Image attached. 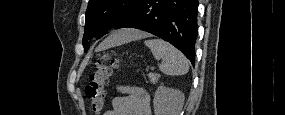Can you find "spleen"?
I'll return each instance as SVG.
<instances>
[{
  "instance_id": "3e777b00",
  "label": "spleen",
  "mask_w": 285,
  "mask_h": 115,
  "mask_svg": "<svg viewBox=\"0 0 285 115\" xmlns=\"http://www.w3.org/2000/svg\"><path fill=\"white\" fill-rule=\"evenodd\" d=\"M145 45L151 50L157 60H162L160 70L166 75H184L189 70L187 58L174 46L162 39H150Z\"/></svg>"
}]
</instances>
